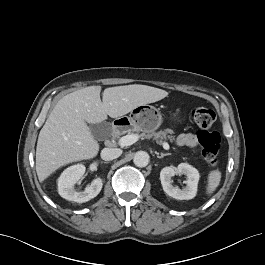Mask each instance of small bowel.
Instances as JSON below:
<instances>
[{
  "instance_id": "small-bowel-1",
  "label": "small bowel",
  "mask_w": 265,
  "mask_h": 265,
  "mask_svg": "<svg viewBox=\"0 0 265 265\" xmlns=\"http://www.w3.org/2000/svg\"><path fill=\"white\" fill-rule=\"evenodd\" d=\"M176 142L179 146L195 147L197 138L191 133H184L177 137Z\"/></svg>"
}]
</instances>
